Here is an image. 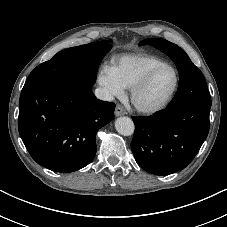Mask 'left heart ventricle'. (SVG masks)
<instances>
[{"label":"left heart ventricle","instance_id":"obj_1","mask_svg":"<svg viewBox=\"0 0 227 227\" xmlns=\"http://www.w3.org/2000/svg\"><path fill=\"white\" fill-rule=\"evenodd\" d=\"M175 79V73L172 69L161 70L138 94L137 103L143 107H154L161 104L174 88Z\"/></svg>","mask_w":227,"mask_h":227}]
</instances>
